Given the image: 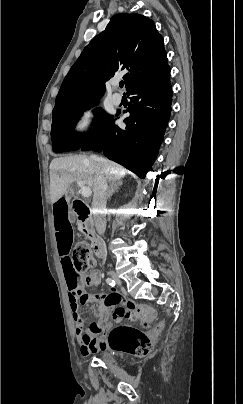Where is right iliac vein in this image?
Here are the masks:
<instances>
[{
	"instance_id": "1",
	"label": "right iliac vein",
	"mask_w": 243,
	"mask_h": 404,
	"mask_svg": "<svg viewBox=\"0 0 243 404\" xmlns=\"http://www.w3.org/2000/svg\"><path fill=\"white\" fill-rule=\"evenodd\" d=\"M110 276L118 285H122V281L120 280V278L117 276L116 273L111 272Z\"/></svg>"
}]
</instances>
